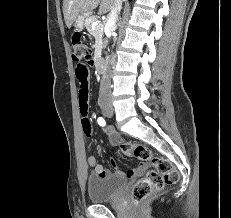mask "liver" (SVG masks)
Wrapping results in <instances>:
<instances>
[{"mask_svg":"<svg viewBox=\"0 0 231 218\" xmlns=\"http://www.w3.org/2000/svg\"><path fill=\"white\" fill-rule=\"evenodd\" d=\"M114 1L115 0H63V14L67 28H71L73 22L79 15H90L99 4V14H105L111 11Z\"/></svg>","mask_w":231,"mask_h":218,"instance_id":"obj_1","label":"liver"}]
</instances>
